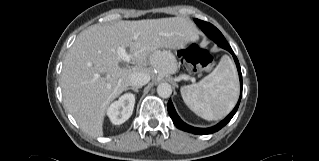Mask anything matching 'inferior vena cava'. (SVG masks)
<instances>
[{
	"mask_svg": "<svg viewBox=\"0 0 319 161\" xmlns=\"http://www.w3.org/2000/svg\"><path fill=\"white\" fill-rule=\"evenodd\" d=\"M150 81V76L144 72H134L130 75L129 84L133 87H142Z\"/></svg>",
	"mask_w": 319,
	"mask_h": 161,
	"instance_id": "1",
	"label": "inferior vena cava"
}]
</instances>
